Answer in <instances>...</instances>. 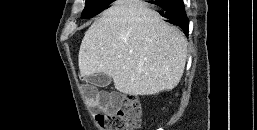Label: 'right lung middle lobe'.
I'll return each mask as SVG.
<instances>
[{
	"mask_svg": "<svg viewBox=\"0 0 257 130\" xmlns=\"http://www.w3.org/2000/svg\"><path fill=\"white\" fill-rule=\"evenodd\" d=\"M113 1L111 0H86L85 8L81 18H91L108 7Z\"/></svg>",
	"mask_w": 257,
	"mask_h": 130,
	"instance_id": "obj_1",
	"label": "right lung middle lobe"
}]
</instances>
